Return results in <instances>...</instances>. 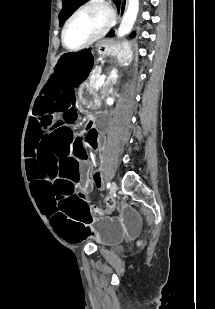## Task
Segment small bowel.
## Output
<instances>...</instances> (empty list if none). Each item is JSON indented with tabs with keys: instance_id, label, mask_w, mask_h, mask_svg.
<instances>
[{
	"instance_id": "small-bowel-1",
	"label": "small bowel",
	"mask_w": 215,
	"mask_h": 309,
	"mask_svg": "<svg viewBox=\"0 0 215 309\" xmlns=\"http://www.w3.org/2000/svg\"><path fill=\"white\" fill-rule=\"evenodd\" d=\"M88 129L91 130V142L92 144L97 147L99 145V138L97 137L96 135V132H95V126L94 124L90 121L87 125ZM108 205V204H107ZM109 208H113L114 207V202L111 203L110 205H108Z\"/></svg>"
}]
</instances>
